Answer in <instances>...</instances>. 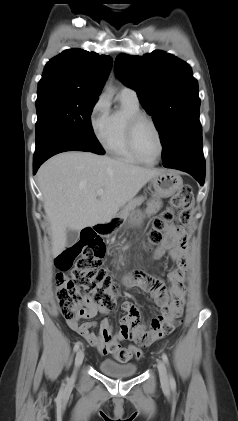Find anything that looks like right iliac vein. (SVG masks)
Instances as JSON below:
<instances>
[{"mask_svg":"<svg viewBox=\"0 0 238 421\" xmlns=\"http://www.w3.org/2000/svg\"><path fill=\"white\" fill-rule=\"evenodd\" d=\"M83 359H84V352H83V350L77 351L76 356H75V363H74L75 370H74V373H73V376H72V380L74 379L75 374H76L78 368L81 366V364L83 362Z\"/></svg>","mask_w":238,"mask_h":421,"instance_id":"1","label":"right iliac vein"}]
</instances>
